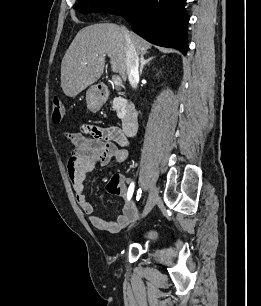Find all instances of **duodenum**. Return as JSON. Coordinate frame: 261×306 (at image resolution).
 Listing matches in <instances>:
<instances>
[{"label":"duodenum","mask_w":261,"mask_h":306,"mask_svg":"<svg viewBox=\"0 0 261 306\" xmlns=\"http://www.w3.org/2000/svg\"><path fill=\"white\" fill-rule=\"evenodd\" d=\"M97 94L100 98L106 99L109 95L108 87L104 84L99 85ZM139 113L137 109L129 104L126 107L124 117L122 119V131L126 136H132L136 133L138 128Z\"/></svg>","instance_id":"duodenum-1"}]
</instances>
